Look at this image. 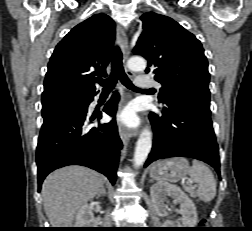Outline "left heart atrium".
<instances>
[{
    "instance_id": "left-heart-atrium-1",
    "label": "left heart atrium",
    "mask_w": 252,
    "mask_h": 231,
    "mask_svg": "<svg viewBox=\"0 0 252 231\" xmlns=\"http://www.w3.org/2000/svg\"><path fill=\"white\" fill-rule=\"evenodd\" d=\"M119 121L126 126L132 127L138 124V117L134 110L128 107L119 114Z\"/></svg>"
}]
</instances>
